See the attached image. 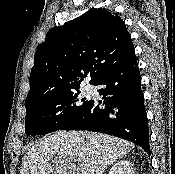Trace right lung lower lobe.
<instances>
[{"mask_svg": "<svg viewBox=\"0 0 175 174\" xmlns=\"http://www.w3.org/2000/svg\"><path fill=\"white\" fill-rule=\"evenodd\" d=\"M105 108L90 100L84 111L63 130H89L117 136L142 147L150 155L149 127L135 52L112 65L94 84Z\"/></svg>", "mask_w": 175, "mask_h": 174, "instance_id": "right-lung-lower-lobe-1", "label": "right lung lower lobe"}]
</instances>
